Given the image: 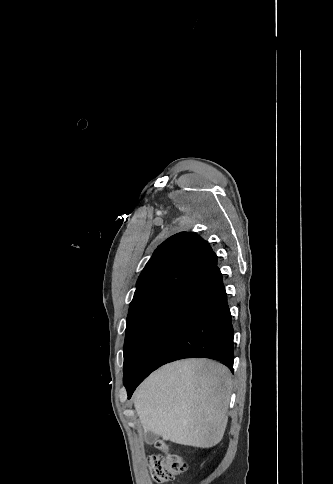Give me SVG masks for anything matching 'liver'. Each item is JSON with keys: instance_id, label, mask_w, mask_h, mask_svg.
<instances>
[{"instance_id": "1", "label": "liver", "mask_w": 333, "mask_h": 484, "mask_svg": "<svg viewBox=\"0 0 333 484\" xmlns=\"http://www.w3.org/2000/svg\"><path fill=\"white\" fill-rule=\"evenodd\" d=\"M232 387L228 368L207 359L163 366L134 394L144 433L181 445L211 448L223 438Z\"/></svg>"}]
</instances>
